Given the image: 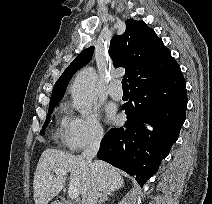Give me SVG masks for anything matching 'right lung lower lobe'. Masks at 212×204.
<instances>
[{
    "instance_id": "98d812e1",
    "label": "right lung lower lobe",
    "mask_w": 212,
    "mask_h": 204,
    "mask_svg": "<svg viewBox=\"0 0 212 204\" xmlns=\"http://www.w3.org/2000/svg\"><path fill=\"white\" fill-rule=\"evenodd\" d=\"M186 105V84L179 66L133 85L129 102L122 106L127 121L104 136L98 158L134 176L143 187L176 142ZM145 123L154 129H145Z\"/></svg>"
}]
</instances>
